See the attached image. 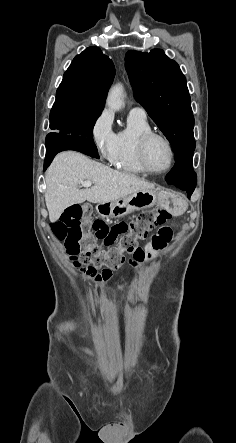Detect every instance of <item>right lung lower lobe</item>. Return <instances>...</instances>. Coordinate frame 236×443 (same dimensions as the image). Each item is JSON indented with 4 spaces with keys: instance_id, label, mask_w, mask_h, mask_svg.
Masks as SVG:
<instances>
[{
    "instance_id": "1",
    "label": "right lung lower lobe",
    "mask_w": 236,
    "mask_h": 443,
    "mask_svg": "<svg viewBox=\"0 0 236 443\" xmlns=\"http://www.w3.org/2000/svg\"><path fill=\"white\" fill-rule=\"evenodd\" d=\"M63 150H76L94 158H99L95 144H89L81 140L73 139L65 140L60 136L46 140V157L44 161V171L50 165L54 156Z\"/></svg>"
}]
</instances>
